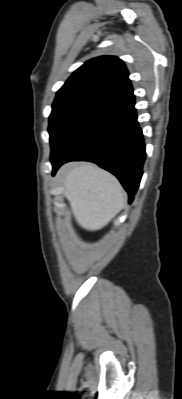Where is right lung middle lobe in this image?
I'll return each mask as SVG.
<instances>
[{
    "mask_svg": "<svg viewBox=\"0 0 182 399\" xmlns=\"http://www.w3.org/2000/svg\"><path fill=\"white\" fill-rule=\"evenodd\" d=\"M106 102L84 95L56 97L49 117L50 144L53 147L80 120Z\"/></svg>",
    "mask_w": 182,
    "mask_h": 399,
    "instance_id": "right-lung-middle-lobe-1",
    "label": "right lung middle lobe"
}]
</instances>
